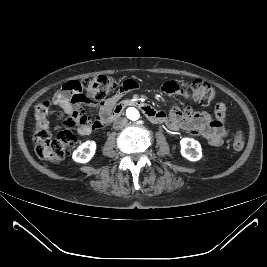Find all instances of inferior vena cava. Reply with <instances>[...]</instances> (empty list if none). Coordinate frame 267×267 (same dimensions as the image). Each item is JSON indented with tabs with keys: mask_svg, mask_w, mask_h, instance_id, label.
<instances>
[{
	"mask_svg": "<svg viewBox=\"0 0 267 267\" xmlns=\"http://www.w3.org/2000/svg\"><path fill=\"white\" fill-rule=\"evenodd\" d=\"M127 124V119L126 118H118L114 121L113 123V128L115 130H118V129H122L123 127H125Z\"/></svg>",
	"mask_w": 267,
	"mask_h": 267,
	"instance_id": "1",
	"label": "inferior vena cava"
}]
</instances>
